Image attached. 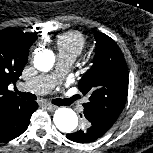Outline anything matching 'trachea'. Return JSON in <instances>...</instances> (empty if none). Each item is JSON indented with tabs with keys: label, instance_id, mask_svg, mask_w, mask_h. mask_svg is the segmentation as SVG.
Masks as SVG:
<instances>
[{
	"label": "trachea",
	"instance_id": "1",
	"mask_svg": "<svg viewBox=\"0 0 153 153\" xmlns=\"http://www.w3.org/2000/svg\"><path fill=\"white\" fill-rule=\"evenodd\" d=\"M16 93L24 100L35 101L37 99V97L32 93L19 92L18 90H16ZM76 99V97L70 99H55L52 102L56 105H70Z\"/></svg>",
	"mask_w": 153,
	"mask_h": 153
}]
</instances>
